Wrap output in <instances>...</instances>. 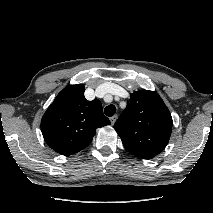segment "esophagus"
I'll return each instance as SVG.
<instances>
[{"label":"esophagus","instance_id":"1","mask_svg":"<svg viewBox=\"0 0 213 213\" xmlns=\"http://www.w3.org/2000/svg\"><path fill=\"white\" fill-rule=\"evenodd\" d=\"M116 120H117V115H114V116L110 117V122H111L112 125H114Z\"/></svg>","mask_w":213,"mask_h":213}]
</instances>
